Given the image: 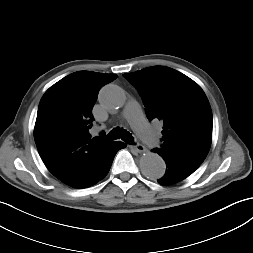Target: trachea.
<instances>
[{"instance_id": "obj_1", "label": "trachea", "mask_w": 253, "mask_h": 253, "mask_svg": "<svg viewBox=\"0 0 253 253\" xmlns=\"http://www.w3.org/2000/svg\"><path fill=\"white\" fill-rule=\"evenodd\" d=\"M121 138L124 142L130 145H134V138L131 133H129L127 130H124L123 128H114L109 132V134L106 136V141H112Z\"/></svg>"}]
</instances>
